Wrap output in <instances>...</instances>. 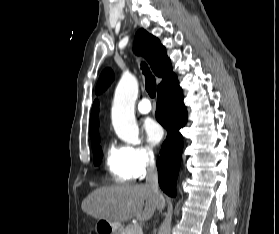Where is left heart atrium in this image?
<instances>
[{
    "label": "left heart atrium",
    "mask_w": 279,
    "mask_h": 234,
    "mask_svg": "<svg viewBox=\"0 0 279 234\" xmlns=\"http://www.w3.org/2000/svg\"><path fill=\"white\" fill-rule=\"evenodd\" d=\"M143 127L147 135V138L151 143L157 144L163 138L164 135L163 128L154 119L151 118L146 119L144 121Z\"/></svg>",
    "instance_id": "left-heart-atrium-1"
}]
</instances>
